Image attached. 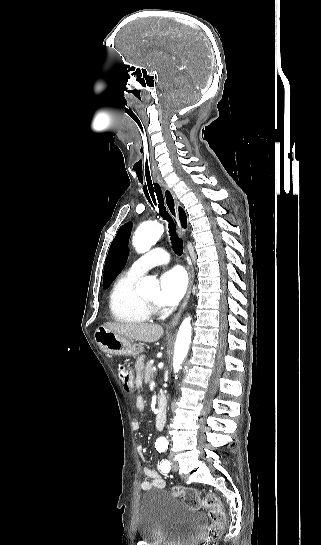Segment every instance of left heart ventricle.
Segmentation results:
<instances>
[{"mask_svg":"<svg viewBox=\"0 0 321 545\" xmlns=\"http://www.w3.org/2000/svg\"><path fill=\"white\" fill-rule=\"evenodd\" d=\"M144 302H146L147 304H151L153 305L155 303V299H143Z\"/></svg>","mask_w":321,"mask_h":545,"instance_id":"left-heart-ventricle-1","label":"left heart ventricle"}]
</instances>
